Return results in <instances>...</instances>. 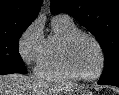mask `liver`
Wrapping results in <instances>:
<instances>
[{
  "label": "liver",
  "mask_w": 119,
  "mask_h": 95,
  "mask_svg": "<svg viewBox=\"0 0 119 95\" xmlns=\"http://www.w3.org/2000/svg\"><path fill=\"white\" fill-rule=\"evenodd\" d=\"M78 87V84L40 74L26 76L14 73L0 76V95H66Z\"/></svg>",
  "instance_id": "1"
}]
</instances>
